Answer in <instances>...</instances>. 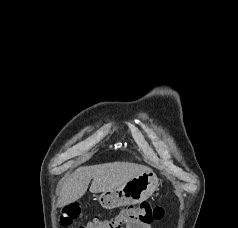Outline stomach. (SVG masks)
<instances>
[{"mask_svg": "<svg viewBox=\"0 0 238 228\" xmlns=\"http://www.w3.org/2000/svg\"><path fill=\"white\" fill-rule=\"evenodd\" d=\"M159 187V179L153 171L135 176L120 187L103 192L99 202L106 209L137 204L149 198Z\"/></svg>", "mask_w": 238, "mask_h": 228, "instance_id": "obj_1", "label": "stomach"}]
</instances>
